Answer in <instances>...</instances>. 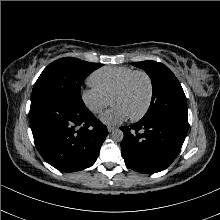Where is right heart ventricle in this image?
Masks as SVG:
<instances>
[{"mask_svg": "<svg viewBox=\"0 0 220 220\" xmlns=\"http://www.w3.org/2000/svg\"><path fill=\"white\" fill-rule=\"evenodd\" d=\"M133 71V68L126 66L103 67L91 74L89 83L110 98L114 90Z\"/></svg>", "mask_w": 220, "mask_h": 220, "instance_id": "e07e8e85", "label": "right heart ventricle"}]
</instances>
